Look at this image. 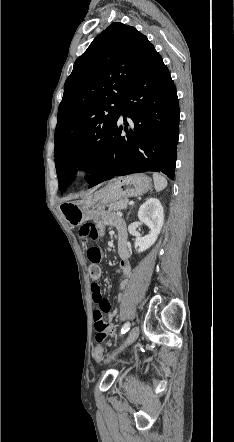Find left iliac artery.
I'll return each instance as SVG.
<instances>
[{
    "mask_svg": "<svg viewBox=\"0 0 234 442\" xmlns=\"http://www.w3.org/2000/svg\"><path fill=\"white\" fill-rule=\"evenodd\" d=\"M130 325V322L125 323L121 329V334H125L126 332H128L130 329Z\"/></svg>",
    "mask_w": 234,
    "mask_h": 442,
    "instance_id": "obj_1",
    "label": "left iliac artery"
}]
</instances>
